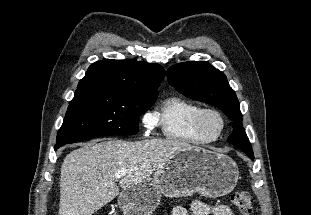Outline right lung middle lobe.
I'll return each instance as SVG.
<instances>
[{
  "label": "right lung middle lobe",
  "mask_w": 311,
  "mask_h": 215,
  "mask_svg": "<svg viewBox=\"0 0 311 215\" xmlns=\"http://www.w3.org/2000/svg\"><path fill=\"white\" fill-rule=\"evenodd\" d=\"M156 98L98 89L76 90L57 134L55 148L97 136L137 134L139 116Z\"/></svg>",
  "instance_id": "obj_1"
}]
</instances>
